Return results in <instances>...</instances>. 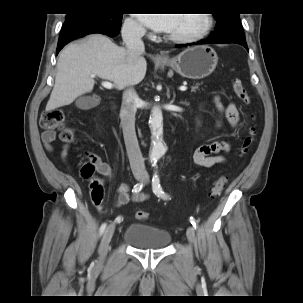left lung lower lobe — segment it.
I'll return each instance as SVG.
<instances>
[{"mask_svg": "<svg viewBox=\"0 0 303 303\" xmlns=\"http://www.w3.org/2000/svg\"><path fill=\"white\" fill-rule=\"evenodd\" d=\"M200 43L201 44H209V43H221V44H224V43H237V44H240V45L244 46L248 50V47H247L245 39H229V38H214V39H209V38H207V39H205L204 41H202ZM188 45H192V44L176 45V47L180 48V47H185V46H188Z\"/></svg>", "mask_w": 303, "mask_h": 303, "instance_id": "obj_1", "label": "left lung lower lobe"}]
</instances>
